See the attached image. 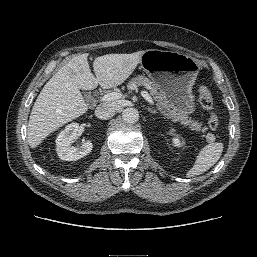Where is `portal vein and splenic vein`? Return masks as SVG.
I'll use <instances>...</instances> for the list:
<instances>
[{"instance_id": "1", "label": "portal vein and splenic vein", "mask_w": 257, "mask_h": 257, "mask_svg": "<svg viewBox=\"0 0 257 257\" xmlns=\"http://www.w3.org/2000/svg\"><path fill=\"white\" fill-rule=\"evenodd\" d=\"M141 95L151 105H154V101L147 91H142ZM121 97H122V93H120V92H110V93H107L104 96H102L101 101L102 102H110V101L120 99Z\"/></svg>"}]
</instances>
